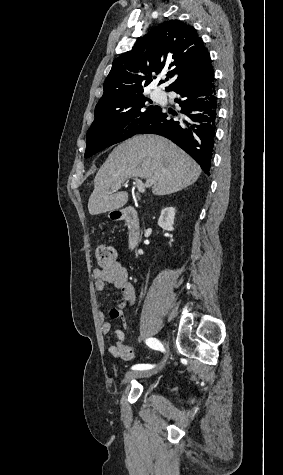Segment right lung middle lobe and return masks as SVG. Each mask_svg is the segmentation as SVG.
<instances>
[{"label":"right lung middle lobe","instance_id":"obj_1","mask_svg":"<svg viewBox=\"0 0 283 475\" xmlns=\"http://www.w3.org/2000/svg\"><path fill=\"white\" fill-rule=\"evenodd\" d=\"M146 101L151 103L144 95H138L121 103L95 108V119L86 135L84 157L137 134L160 110L159 106L145 105Z\"/></svg>","mask_w":283,"mask_h":475}]
</instances>
